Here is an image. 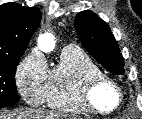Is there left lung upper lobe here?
<instances>
[{
  "instance_id": "obj_1",
  "label": "left lung upper lobe",
  "mask_w": 142,
  "mask_h": 119,
  "mask_svg": "<svg viewBox=\"0 0 142 119\" xmlns=\"http://www.w3.org/2000/svg\"><path fill=\"white\" fill-rule=\"evenodd\" d=\"M75 27L82 44L91 56L114 75L125 73L119 46L109 26L102 19L93 12L82 11L76 15Z\"/></svg>"
}]
</instances>
